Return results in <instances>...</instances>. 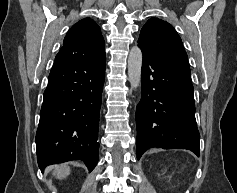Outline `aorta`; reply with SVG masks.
Instances as JSON below:
<instances>
[{
	"label": "aorta",
	"mask_w": 237,
	"mask_h": 193,
	"mask_svg": "<svg viewBox=\"0 0 237 193\" xmlns=\"http://www.w3.org/2000/svg\"><path fill=\"white\" fill-rule=\"evenodd\" d=\"M128 78L133 89L141 83L142 51L139 47H132L128 56Z\"/></svg>",
	"instance_id": "1"
}]
</instances>
